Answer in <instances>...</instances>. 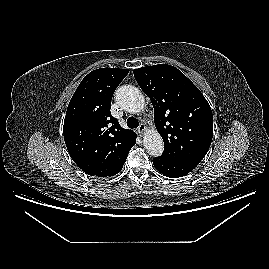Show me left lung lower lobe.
<instances>
[{"label":"left lung lower lobe","mask_w":269,"mask_h":269,"mask_svg":"<svg viewBox=\"0 0 269 269\" xmlns=\"http://www.w3.org/2000/svg\"><path fill=\"white\" fill-rule=\"evenodd\" d=\"M155 168L167 177L178 178L191 172L198 164L193 162H180L163 156L153 158Z\"/></svg>","instance_id":"left-lung-lower-lobe-1"}]
</instances>
